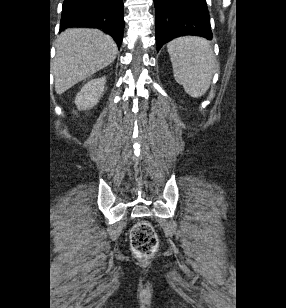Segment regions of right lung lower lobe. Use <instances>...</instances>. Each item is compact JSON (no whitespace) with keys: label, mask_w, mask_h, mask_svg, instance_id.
<instances>
[{"label":"right lung lower lobe","mask_w":286,"mask_h":308,"mask_svg":"<svg viewBox=\"0 0 286 308\" xmlns=\"http://www.w3.org/2000/svg\"><path fill=\"white\" fill-rule=\"evenodd\" d=\"M70 27L98 28L110 34L118 47L123 39L122 0H64L60 32Z\"/></svg>","instance_id":"98d812e1"}]
</instances>
